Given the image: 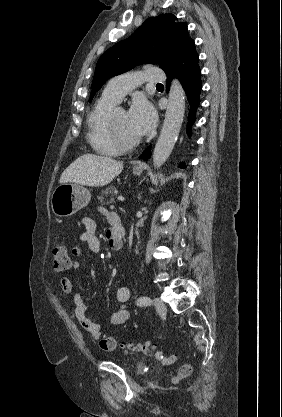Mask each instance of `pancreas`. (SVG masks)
Returning <instances> with one entry per match:
<instances>
[{
    "mask_svg": "<svg viewBox=\"0 0 282 417\" xmlns=\"http://www.w3.org/2000/svg\"><path fill=\"white\" fill-rule=\"evenodd\" d=\"M118 190L116 188V186H112V184H110V186H106L105 190H102L101 192V196H99L101 202H103L105 196H108V194H111V196H114V194H117ZM112 200H114V198H110V202H112ZM104 204H108V200H105Z\"/></svg>",
    "mask_w": 282,
    "mask_h": 417,
    "instance_id": "1",
    "label": "pancreas"
}]
</instances>
